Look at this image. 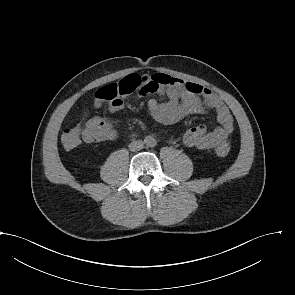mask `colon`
Here are the masks:
<instances>
[{
    "label": "colon",
    "instance_id": "obj_1",
    "mask_svg": "<svg viewBox=\"0 0 295 295\" xmlns=\"http://www.w3.org/2000/svg\"><path fill=\"white\" fill-rule=\"evenodd\" d=\"M141 76L137 74H131L124 77L117 83L109 84L100 88L95 97L99 98L103 102L113 103L121 96H125L133 93L141 87ZM95 129V120L90 118L84 121H81L71 127H68L63 130L61 135V141L63 146L68 149L76 148L83 140L88 133L94 132ZM231 146L229 142H224L215 149V153L219 157H225L229 154Z\"/></svg>",
    "mask_w": 295,
    "mask_h": 295
}]
</instances>
